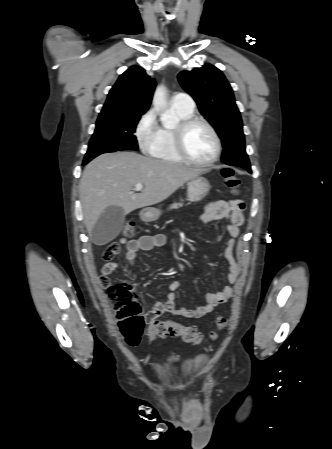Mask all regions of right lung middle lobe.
Segmentation results:
<instances>
[{
	"mask_svg": "<svg viewBox=\"0 0 332 449\" xmlns=\"http://www.w3.org/2000/svg\"><path fill=\"white\" fill-rule=\"evenodd\" d=\"M141 115L143 114L99 116L84 162H89L103 153L137 150L134 132Z\"/></svg>",
	"mask_w": 332,
	"mask_h": 449,
	"instance_id": "1",
	"label": "right lung middle lobe"
}]
</instances>
